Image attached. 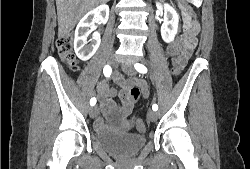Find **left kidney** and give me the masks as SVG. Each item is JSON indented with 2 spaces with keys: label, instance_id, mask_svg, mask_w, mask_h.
I'll use <instances>...</instances> for the list:
<instances>
[{
  "label": "left kidney",
  "instance_id": "1",
  "mask_svg": "<svg viewBox=\"0 0 250 169\" xmlns=\"http://www.w3.org/2000/svg\"><path fill=\"white\" fill-rule=\"evenodd\" d=\"M164 18L161 26V36L165 42H172L177 34L179 16L170 4H163Z\"/></svg>",
  "mask_w": 250,
  "mask_h": 169
}]
</instances>
